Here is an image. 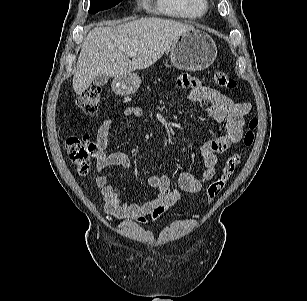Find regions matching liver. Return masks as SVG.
Masks as SVG:
<instances>
[{"label": "liver", "mask_w": 307, "mask_h": 301, "mask_svg": "<svg viewBox=\"0 0 307 301\" xmlns=\"http://www.w3.org/2000/svg\"><path fill=\"white\" fill-rule=\"evenodd\" d=\"M192 29L186 23L156 17L92 29L82 43L73 75L75 93L86 91L100 74L123 77L150 67L181 34ZM132 51L137 55L130 60Z\"/></svg>", "instance_id": "liver-1"}]
</instances>
